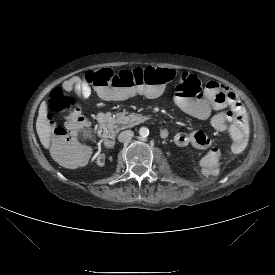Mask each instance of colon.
<instances>
[{
    "instance_id": "colon-1",
    "label": "colon",
    "mask_w": 275,
    "mask_h": 275,
    "mask_svg": "<svg viewBox=\"0 0 275 275\" xmlns=\"http://www.w3.org/2000/svg\"><path fill=\"white\" fill-rule=\"evenodd\" d=\"M80 79L89 85L97 87L100 96L108 101L128 99L137 101L141 97H157L164 87L177 81L176 89H188L194 93L201 89V81L190 73L178 74L173 69L147 67L133 71L123 70L113 73L110 69L87 71ZM85 83H77L72 88V95L77 100H85L90 95V88ZM66 95L61 89H55L50 97V109L56 112H71L76 110L77 102ZM78 128L70 124L69 131L58 128L55 130L53 151L65 153L73 149L74 134Z\"/></svg>"
}]
</instances>
